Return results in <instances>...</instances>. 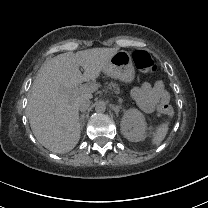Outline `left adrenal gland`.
<instances>
[{
	"label": "left adrenal gland",
	"instance_id": "obj_1",
	"mask_svg": "<svg viewBox=\"0 0 208 208\" xmlns=\"http://www.w3.org/2000/svg\"><path fill=\"white\" fill-rule=\"evenodd\" d=\"M111 108H112V110H114L116 116L118 117L119 116L120 109H122V107L121 106L111 105Z\"/></svg>",
	"mask_w": 208,
	"mask_h": 208
}]
</instances>
